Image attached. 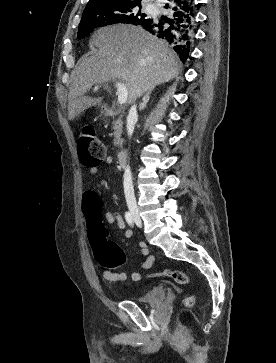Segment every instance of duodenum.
<instances>
[{"mask_svg":"<svg viewBox=\"0 0 276 363\" xmlns=\"http://www.w3.org/2000/svg\"><path fill=\"white\" fill-rule=\"evenodd\" d=\"M103 112H104V115L107 117H113V116L117 115V111L110 107L103 108ZM117 161H118L119 165H121V166L125 165V161H126V151L125 150L122 149L118 152Z\"/></svg>","mask_w":276,"mask_h":363,"instance_id":"410a0bca","label":"duodenum"}]
</instances>
